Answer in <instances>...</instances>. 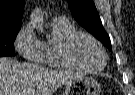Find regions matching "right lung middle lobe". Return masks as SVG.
<instances>
[{"label": "right lung middle lobe", "mask_w": 135, "mask_h": 95, "mask_svg": "<svg viewBox=\"0 0 135 95\" xmlns=\"http://www.w3.org/2000/svg\"><path fill=\"white\" fill-rule=\"evenodd\" d=\"M19 31L0 34V57L14 56V41Z\"/></svg>", "instance_id": "1"}]
</instances>
